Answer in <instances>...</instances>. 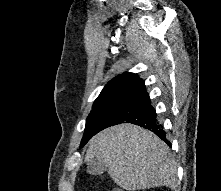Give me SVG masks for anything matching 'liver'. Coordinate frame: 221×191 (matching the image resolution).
Segmentation results:
<instances>
[{
	"mask_svg": "<svg viewBox=\"0 0 221 191\" xmlns=\"http://www.w3.org/2000/svg\"><path fill=\"white\" fill-rule=\"evenodd\" d=\"M94 158L102 161L113 181L127 191L177 186V168L169 147L137 125L119 124L95 135L85 161Z\"/></svg>",
	"mask_w": 221,
	"mask_h": 191,
	"instance_id": "obj_1",
	"label": "liver"
}]
</instances>
